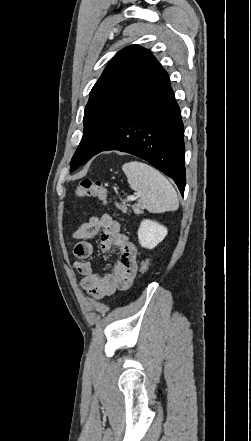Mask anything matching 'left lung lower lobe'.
I'll list each match as a JSON object with an SVG mask.
<instances>
[{"label": "left lung lower lobe", "mask_w": 251, "mask_h": 441, "mask_svg": "<svg viewBox=\"0 0 251 441\" xmlns=\"http://www.w3.org/2000/svg\"><path fill=\"white\" fill-rule=\"evenodd\" d=\"M183 133L180 109L166 72L129 113L114 114L91 125L84 138L86 162L102 151L130 153L172 178L183 195L186 184Z\"/></svg>", "instance_id": "1"}]
</instances>
